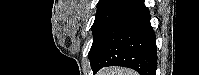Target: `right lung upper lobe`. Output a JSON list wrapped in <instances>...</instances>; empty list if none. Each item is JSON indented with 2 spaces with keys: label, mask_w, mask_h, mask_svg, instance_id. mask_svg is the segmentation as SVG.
<instances>
[{
  "label": "right lung upper lobe",
  "mask_w": 199,
  "mask_h": 75,
  "mask_svg": "<svg viewBox=\"0 0 199 75\" xmlns=\"http://www.w3.org/2000/svg\"><path fill=\"white\" fill-rule=\"evenodd\" d=\"M112 1H114V0H99L98 5L109 3V2H112Z\"/></svg>",
  "instance_id": "obj_1"
}]
</instances>
